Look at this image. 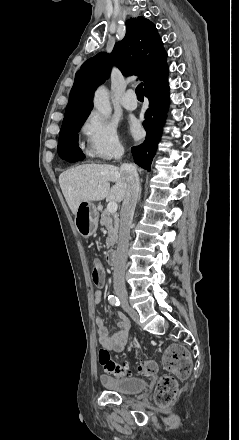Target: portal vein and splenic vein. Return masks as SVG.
Returning a JSON list of instances; mask_svg holds the SVG:
<instances>
[{"mask_svg":"<svg viewBox=\"0 0 239 440\" xmlns=\"http://www.w3.org/2000/svg\"><path fill=\"white\" fill-rule=\"evenodd\" d=\"M117 204L116 202H109L108 206H107V210L108 212H110V214H115V212H117Z\"/></svg>","mask_w":239,"mask_h":440,"instance_id":"18ae733b","label":"portal vein and splenic vein"}]
</instances>
